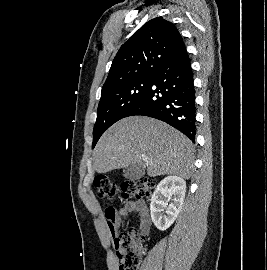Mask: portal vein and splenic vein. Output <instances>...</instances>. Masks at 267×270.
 Returning a JSON list of instances; mask_svg holds the SVG:
<instances>
[{
	"instance_id": "obj_1",
	"label": "portal vein and splenic vein",
	"mask_w": 267,
	"mask_h": 270,
	"mask_svg": "<svg viewBox=\"0 0 267 270\" xmlns=\"http://www.w3.org/2000/svg\"><path fill=\"white\" fill-rule=\"evenodd\" d=\"M143 161L145 162V163H149V161L147 160V158H145V157H143Z\"/></svg>"
}]
</instances>
